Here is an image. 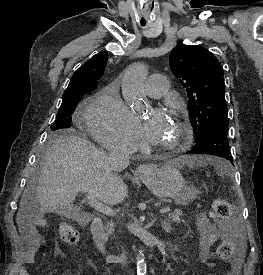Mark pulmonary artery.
Instances as JSON below:
<instances>
[{"mask_svg":"<svg viewBox=\"0 0 263 275\" xmlns=\"http://www.w3.org/2000/svg\"><path fill=\"white\" fill-rule=\"evenodd\" d=\"M168 92V83L165 76L152 74L146 81V94L151 98H160Z\"/></svg>","mask_w":263,"mask_h":275,"instance_id":"1","label":"pulmonary artery"}]
</instances>
